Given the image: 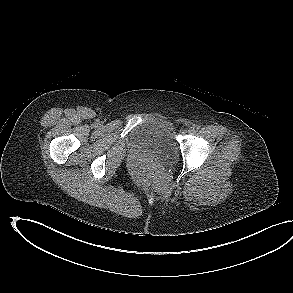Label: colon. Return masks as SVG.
<instances>
[{"mask_svg": "<svg viewBox=\"0 0 293 293\" xmlns=\"http://www.w3.org/2000/svg\"><path fill=\"white\" fill-rule=\"evenodd\" d=\"M153 178V171L150 167H142L136 172V179L138 184L147 185Z\"/></svg>", "mask_w": 293, "mask_h": 293, "instance_id": "5ec220e1", "label": "colon"}]
</instances>
